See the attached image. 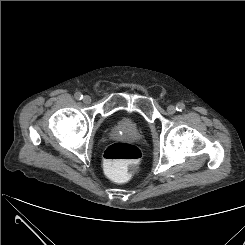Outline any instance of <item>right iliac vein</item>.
I'll list each match as a JSON object with an SVG mask.
<instances>
[{
	"label": "right iliac vein",
	"mask_w": 245,
	"mask_h": 245,
	"mask_svg": "<svg viewBox=\"0 0 245 245\" xmlns=\"http://www.w3.org/2000/svg\"><path fill=\"white\" fill-rule=\"evenodd\" d=\"M91 101H92V99H91V97H90L89 95H85V96L83 97V102H84L85 104H90Z\"/></svg>",
	"instance_id": "obj_1"
}]
</instances>
